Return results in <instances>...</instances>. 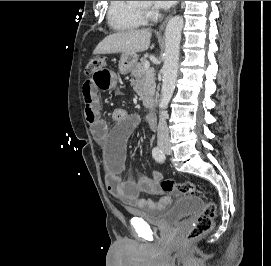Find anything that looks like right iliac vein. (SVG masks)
I'll return each instance as SVG.
<instances>
[{"mask_svg":"<svg viewBox=\"0 0 271 266\" xmlns=\"http://www.w3.org/2000/svg\"><path fill=\"white\" fill-rule=\"evenodd\" d=\"M162 147H163V148H165V147H166V145H162Z\"/></svg>","mask_w":271,"mask_h":266,"instance_id":"obj_1","label":"right iliac vein"}]
</instances>
